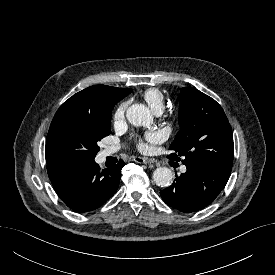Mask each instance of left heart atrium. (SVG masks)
I'll use <instances>...</instances> for the list:
<instances>
[{
	"instance_id": "39dd6f15",
	"label": "left heart atrium",
	"mask_w": 275,
	"mask_h": 275,
	"mask_svg": "<svg viewBox=\"0 0 275 275\" xmlns=\"http://www.w3.org/2000/svg\"><path fill=\"white\" fill-rule=\"evenodd\" d=\"M147 138L150 140H155L156 139V135L154 133H149L147 135ZM138 147L139 148H144V143L142 141H138Z\"/></svg>"
}]
</instances>
